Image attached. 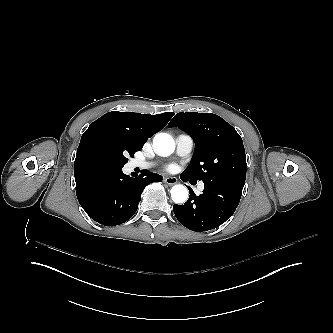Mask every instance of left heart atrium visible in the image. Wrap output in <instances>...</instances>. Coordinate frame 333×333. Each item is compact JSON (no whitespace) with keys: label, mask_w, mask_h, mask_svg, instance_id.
Segmentation results:
<instances>
[{"label":"left heart atrium","mask_w":333,"mask_h":333,"mask_svg":"<svg viewBox=\"0 0 333 333\" xmlns=\"http://www.w3.org/2000/svg\"><path fill=\"white\" fill-rule=\"evenodd\" d=\"M174 170V166H171L170 168H169V171H173Z\"/></svg>","instance_id":"left-heart-atrium-1"}]
</instances>
